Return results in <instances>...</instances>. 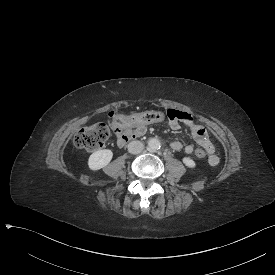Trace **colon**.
<instances>
[{
	"mask_svg": "<svg viewBox=\"0 0 275 275\" xmlns=\"http://www.w3.org/2000/svg\"><path fill=\"white\" fill-rule=\"evenodd\" d=\"M165 112H149V113H136L134 115L121 116L117 111H112L108 115V121L110 126L106 123H96L90 126H86L78 131L75 136V144L78 148L88 151L101 149L106 141L111 137L112 130L121 131L125 127L133 126L136 124H142L145 122H164L167 121ZM112 129V130H111ZM195 155L198 158H204L206 152L202 148L195 150Z\"/></svg>",
	"mask_w": 275,
	"mask_h": 275,
	"instance_id": "1",
	"label": "colon"
}]
</instances>
